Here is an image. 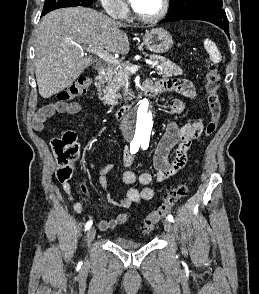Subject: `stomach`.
<instances>
[{"label":"stomach","instance_id":"obj_1","mask_svg":"<svg viewBox=\"0 0 259 294\" xmlns=\"http://www.w3.org/2000/svg\"><path fill=\"white\" fill-rule=\"evenodd\" d=\"M143 43L150 51L154 53H166L173 46L171 34L163 28H154L146 31L143 36Z\"/></svg>","mask_w":259,"mask_h":294}]
</instances>
